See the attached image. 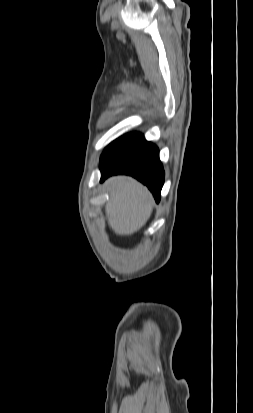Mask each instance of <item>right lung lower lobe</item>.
Wrapping results in <instances>:
<instances>
[{
    "instance_id": "right-lung-lower-lobe-1",
    "label": "right lung lower lobe",
    "mask_w": 253,
    "mask_h": 413,
    "mask_svg": "<svg viewBox=\"0 0 253 413\" xmlns=\"http://www.w3.org/2000/svg\"><path fill=\"white\" fill-rule=\"evenodd\" d=\"M100 170L101 182L115 174L131 175L149 188L156 202L160 201L164 170L159 150L144 138L104 161Z\"/></svg>"
}]
</instances>
